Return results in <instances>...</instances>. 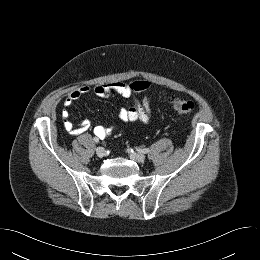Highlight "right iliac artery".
<instances>
[{
	"instance_id": "82829eb1",
	"label": "right iliac artery",
	"mask_w": 260,
	"mask_h": 260,
	"mask_svg": "<svg viewBox=\"0 0 260 260\" xmlns=\"http://www.w3.org/2000/svg\"><path fill=\"white\" fill-rule=\"evenodd\" d=\"M94 141H95L96 143H98V142H99V139H98V138H94Z\"/></svg>"
}]
</instances>
